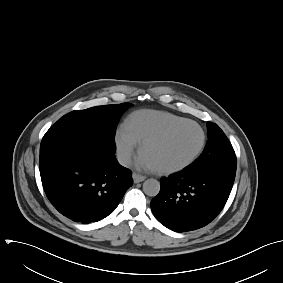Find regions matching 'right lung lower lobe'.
I'll return each mask as SVG.
<instances>
[{
  "label": "right lung lower lobe",
  "instance_id": "98d812e1",
  "mask_svg": "<svg viewBox=\"0 0 283 283\" xmlns=\"http://www.w3.org/2000/svg\"><path fill=\"white\" fill-rule=\"evenodd\" d=\"M115 151L114 139L83 137L40 153L44 191L62 215L87 224L113 212L133 184Z\"/></svg>",
  "mask_w": 283,
  "mask_h": 283
}]
</instances>
